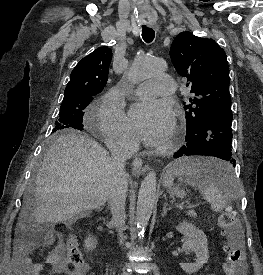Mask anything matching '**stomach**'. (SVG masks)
Returning a JSON list of instances; mask_svg holds the SVG:
<instances>
[{
  "label": "stomach",
  "mask_w": 263,
  "mask_h": 275,
  "mask_svg": "<svg viewBox=\"0 0 263 275\" xmlns=\"http://www.w3.org/2000/svg\"><path fill=\"white\" fill-rule=\"evenodd\" d=\"M164 185L168 188V191L172 196L182 197L185 195L184 189L173 183V172L171 170H169L165 175Z\"/></svg>",
  "instance_id": "obj_1"
}]
</instances>
